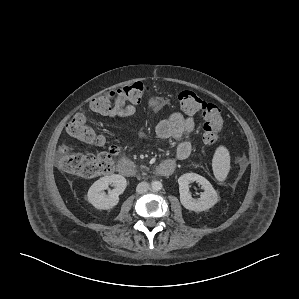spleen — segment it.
I'll list each match as a JSON object with an SVG mask.
<instances>
[{"label": "spleen", "instance_id": "spleen-1", "mask_svg": "<svg viewBox=\"0 0 299 299\" xmlns=\"http://www.w3.org/2000/svg\"><path fill=\"white\" fill-rule=\"evenodd\" d=\"M213 172L217 180L223 181L230 170V154L226 147L219 146L212 160Z\"/></svg>", "mask_w": 299, "mask_h": 299}]
</instances>
